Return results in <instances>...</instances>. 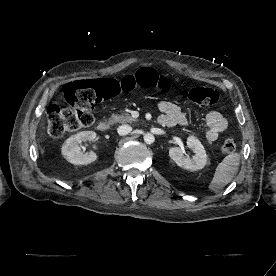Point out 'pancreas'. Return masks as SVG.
I'll return each instance as SVG.
<instances>
[{"instance_id": "pancreas-1", "label": "pancreas", "mask_w": 276, "mask_h": 276, "mask_svg": "<svg viewBox=\"0 0 276 276\" xmlns=\"http://www.w3.org/2000/svg\"><path fill=\"white\" fill-rule=\"evenodd\" d=\"M136 119L133 118L130 114H113L108 119L109 124L113 125L115 123H133Z\"/></svg>"}]
</instances>
